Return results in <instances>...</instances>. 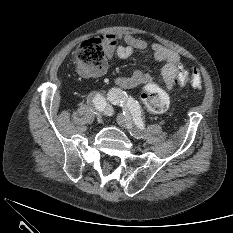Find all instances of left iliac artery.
<instances>
[{"instance_id":"obj_1","label":"left iliac artery","mask_w":233,"mask_h":233,"mask_svg":"<svg viewBox=\"0 0 233 233\" xmlns=\"http://www.w3.org/2000/svg\"><path fill=\"white\" fill-rule=\"evenodd\" d=\"M108 100L114 105H120L126 112L129 111L133 116L135 125L139 129H144L141 118V109L137 101L118 88H113L108 92Z\"/></svg>"}]
</instances>
